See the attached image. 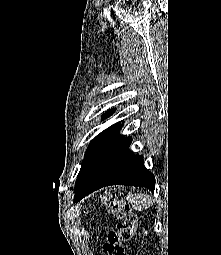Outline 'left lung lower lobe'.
<instances>
[{
  "mask_svg": "<svg viewBox=\"0 0 221 255\" xmlns=\"http://www.w3.org/2000/svg\"><path fill=\"white\" fill-rule=\"evenodd\" d=\"M119 125L93 152L74 188V201L109 185L146 187L154 192L155 179L143 164V157L129 150L132 139L119 134Z\"/></svg>",
  "mask_w": 221,
  "mask_h": 255,
  "instance_id": "left-lung-lower-lobe-1",
  "label": "left lung lower lobe"
}]
</instances>
